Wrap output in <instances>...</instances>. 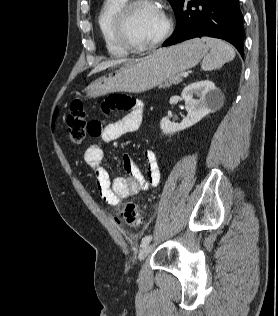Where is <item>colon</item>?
Masks as SVG:
<instances>
[{
    "instance_id": "5ec220e1",
    "label": "colon",
    "mask_w": 278,
    "mask_h": 316,
    "mask_svg": "<svg viewBox=\"0 0 278 316\" xmlns=\"http://www.w3.org/2000/svg\"><path fill=\"white\" fill-rule=\"evenodd\" d=\"M67 130L70 142L74 145H80L85 140L87 133L96 135L100 128L93 122H88L83 102L75 100L71 104L67 117ZM121 219L130 227H138L142 223V215L137 204L127 203ZM117 220L120 221V218Z\"/></svg>"
}]
</instances>
